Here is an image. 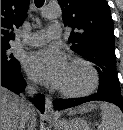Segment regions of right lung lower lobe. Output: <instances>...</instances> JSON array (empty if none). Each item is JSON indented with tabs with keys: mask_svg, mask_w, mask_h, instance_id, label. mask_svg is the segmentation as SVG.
Instances as JSON below:
<instances>
[{
	"mask_svg": "<svg viewBox=\"0 0 123 130\" xmlns=\"http://www.w3.org/2000/svg\"><path fill=\"white\" fill-rule=\"evenodd\" d=\"M1 86L8 88L15 93H20L25 89L26 82L20 73V70H13L8 67L1 66ZM31 101L41 111V113H44V95H37L34 99H31Z\"/></svg>",
	"mask_w": 123,
	"mask_h": 130,
	"instance_id": "obj_1",
	"label": "right lung lower lobe"
}]
</instances>
